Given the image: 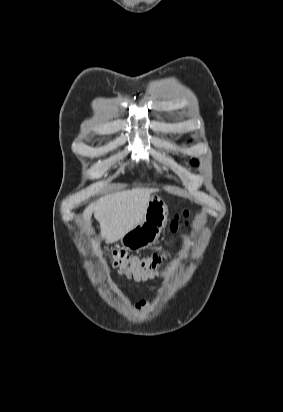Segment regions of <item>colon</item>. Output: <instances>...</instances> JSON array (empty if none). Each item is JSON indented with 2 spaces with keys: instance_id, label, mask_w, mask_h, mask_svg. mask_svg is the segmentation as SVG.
Masks as SVG:
<instances>
[{
  "instance_id": "obj_1",
  "label": "colon",
  "mask_w": 283,
  "mask_h": 412,
  "mask_svg": "<svg viewBox=\"0 0 283 412\" xmlns=\"http://www.w3.org/2000/svg\"><path fill=\"white\" fill-rule=\"evenodd\" d=\"M191 212L184 210L174 215L170 223L173 232L178 231L190 218ZM111 260L118 271L129 278L147 280L157 277L161 272L164 254H154L147 258H136L119 249H111Z\"/></svg>"
}]
</instances>
